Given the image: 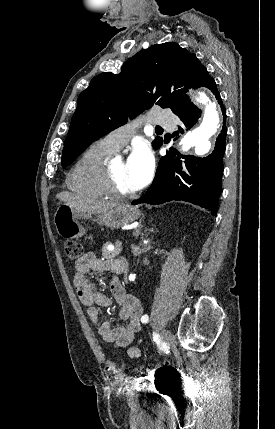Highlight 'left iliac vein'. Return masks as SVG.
<instances>
[{
    "label": "left iliac vein",
    "mask_w": 275,
    "mask_h": 429,
    "mask_svg": "<svg viewBox=\"0 0 275 429\" xmlns=\"http://www.w3.org/2000/svg\"><path fill=\"white\" fill-rule=\"evenodd\" d=\"M173 340V335L169 330H163L161 333V342L164 348H168Z\"/></svg>",
    "instance_id": "1"
}]
</instances>
